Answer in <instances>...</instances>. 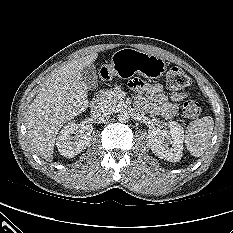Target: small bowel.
<instances>
[{"label":"small bowel","instance_id":"c3829d8e","mask_svg":"<svg viewBox=\"0 0 233 233\" xmlns=\"http://www.w3.org/2000/svg\"><path fill=\"white\" fill-rule=\"evenodd\" d=\"M130 86L137 94L136 106L140 110L150 111L166 118L174 116L178 104L187 98V94L181 91L166 94L163 87L157 83L136 79L131 81Z\"/></svg>","mask_w":233,"mask_h":233}]
</instances>
